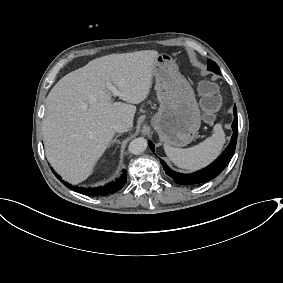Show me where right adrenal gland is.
Segmentation results:
<instances>
[{"instance_id": "right-adrenal-gland-1", "label": "right adrenal gland", "mask_w": 283, "mask_h": 283, "mask_svg": "<svg viewBox=\"0 0 283 283\" xmlns=\"http://www.w3.org/2000/svg\"><path fill=\"white\" fill-rule=\"evenodd\" d=\"M120 135H121V134H118V135L114 138V140L110 141L109 146H110L112 143H118V144H120V143H121L120 140L117 139Z\"/></svg>"}]
</instances>
